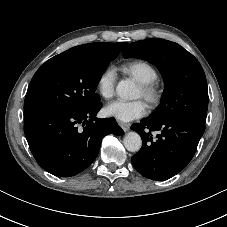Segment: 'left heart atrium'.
Returning <instances> with one entry per match:
<instances>
[{
    "mask_svg": "<svg viewBox=\"0 0 227 227\" xmlns=\"http://www.w3.org/2000/svg\"><path fill=\"white\" fill-rule=\"evenodd\" d=\"M146 110L147 106L141 100H117L109 103L104 108V112L107 116L113 117L121 122H129L140 118L146 113Z\"/></svg>",
    "mask_w": 227,
    "mask_h": 227,
    "instance_id": "obj_1",
    "label": "left heart atrium"
}]
</instances>
